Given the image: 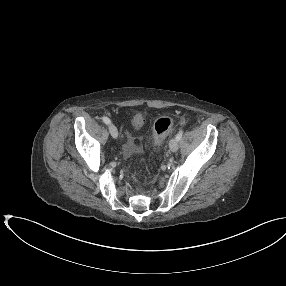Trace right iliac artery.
Instances as JSON below:
<instances>
[{
  "mask_svg": "<svg viewBox=\"0 0 286 286\" xmlns=\"http://www.w3.org/2000/svg\"><path fill=\"white\" fill-rule=\"evenodd\" d=\"M102 121H103L105 124H110V123H111L110 119H109L108 117H106V116L102 117Z\"/></svg>",
  "mask_w": 286,
  "mask_h": 286,
  "instance_id": "1",
  "label": "right iliac artery"
}]
</instances>
